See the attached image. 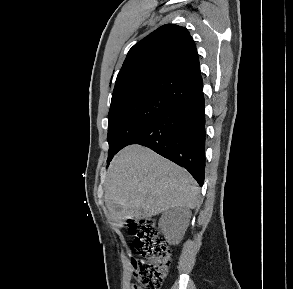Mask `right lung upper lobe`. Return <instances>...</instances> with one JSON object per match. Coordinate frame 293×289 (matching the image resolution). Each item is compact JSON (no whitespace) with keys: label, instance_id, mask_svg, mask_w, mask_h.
I'll return each instance as SVG.
<instances>
[{"label":"right lung upper lobe","instance_id":"cb5924a9","mask_svg":"<svg viewBox=\"0 0 293 289\" xmlns=\"http://www.w3.org/2000/svg\"><path fill=\"white\" fill-rule=\"evenodd\" d=\"M203 90L196 45L186 28L166 24L135 44L118 73L111 105L144 95L174 104Z\"/></svg>","mask_w":293,"mask_h":289}]
</instances>
